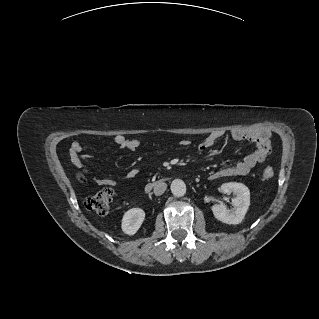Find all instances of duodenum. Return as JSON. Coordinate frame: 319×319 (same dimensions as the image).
I'll return each mask as SVG.
<instances>
[{"label":"duodenum","mask_w":319,"mask_h":319,"mask_svg":"<svg viewBox=\"0 0 319 319\" xmlns=\"http://www.w3.org/2000/svg\"><path fill=\"white\" fill-rule=\"evenodd\" d=\"M153 187H154V183H148L145 187V190L149 192L152 190Z\"/></svg>","instance_id":"1"}]
</instances>
